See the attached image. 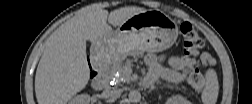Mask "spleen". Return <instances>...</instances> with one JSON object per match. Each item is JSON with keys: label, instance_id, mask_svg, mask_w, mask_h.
Instances as JSON below:
<instances>
[{"label": "spleen", "instance_id": "1", "mask_svg": "<svg viewBox=\"0 0 252 104\" xmlns=\"http://www.w3.org/2000/svg\"><path fill=\"white\" fill-rule=\"evenodd\" d=\"M219 84L215 70L208 69L205 73V86L201 94L204 104H215L218 98Z\"/></svg>", "mask_w": 252, "mask_h": 104}]
</instances>
